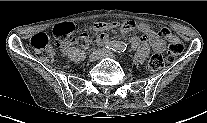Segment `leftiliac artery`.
<instances>
[{"instance_id":"1","label":"left iliac artery","mask_w":207,"mask_h":123,"mask_svg":"<svg viewBox=\"0 0 207 123\" xmlns=\"http://www.w3.org/2000/svg\"><path fill=\"white\" fill-rule=\"evenodd\" d=\"M126 50L125 46L122 45H118L115 49H113V51L117 52V53H122Z\"/></svg>"}]
</instances>
